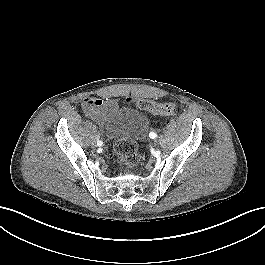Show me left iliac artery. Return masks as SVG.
<instances>
[{
    "mask_svg": "<svg viewBox=\"0 0 265 265\" xmlns=\"http://www.w3.org/2000/svg\"><path fill=\"white\" fill-rule=\"evenodd\" d=\"M149 136L150 138L155 139L157 137V134L155 132H150Z\"/></svg>",
    "mask_w": 265,
    "mask_h": 265,
    "instance_id": "left-iliac-artery-1",
    "label": "left iliac artery"
}]
</instances>
